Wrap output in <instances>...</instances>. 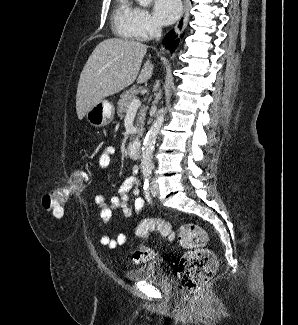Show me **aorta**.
Here are the masks:
<instances>
[{
  "mask_svg": "<svg viewBox=\"0 0 298 325\" xmlns=\"http://www.w3.org/2000/svg\"><path fill=\"white\" fill-rule=\"evenodd\" d=\"M140 6H150L153 0H137ZM167 112V106H162L160 108L159 114L156 116L151 128H149L145 140L143 142L144 146L142 148V158H141V169L142 173H149L152 171L153 167V150L156 140V136L164 122L165 114Z\"/></svg>",
  "mask_w": 298,
  "mask_h": 325,
  "instance_id": "762f6f07",
  "label": "aorta"
}]
</instances>
